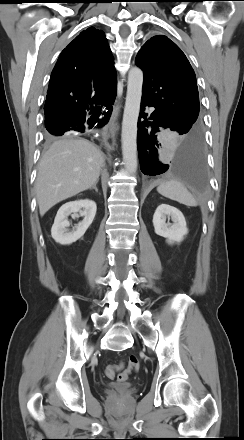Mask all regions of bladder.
<instances>
[{
  "label": "bladder",
  "mask_w": 244,
  "mask_h": 440,
  "mask_svg": "<svg viewBox=\"0 0 244 440\" xmlns=\"http://www.w3.org/2000/svg\"><path fill=\"white\" fill-rule=\"evenodd\" d=\"M108 387L111 390L115 391L116 393H120V394L126 393L130 389V386L126 385V384H123V385L109 384Z\"/></svg>",
  "instance_id": "obj_1"
}]
</instances>
